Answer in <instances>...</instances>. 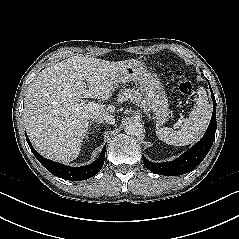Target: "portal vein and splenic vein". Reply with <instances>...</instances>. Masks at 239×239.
<instances>
[{
  "mask_svg": "<svg viewBox=\"0 0 239 239\" xmlns=\"http://www.w3.org/2000/svg\"><path fill=\"white\" fill-rule=\"evenodd\" d=\"M81 105L88 110H100L102 109V105H99L95 102H89L88 104H85L84 101H81Z\"/></svg>",
  "mask_w": 239,
  "mask_h": 239,
  "instance_id": "obj_1",
  "label": "portal vein and splenic vein"
}]
</instances>
